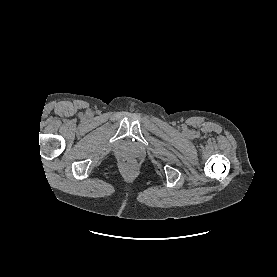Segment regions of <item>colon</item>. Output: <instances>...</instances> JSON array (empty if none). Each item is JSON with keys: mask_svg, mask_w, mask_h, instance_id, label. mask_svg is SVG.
Returning a JSON list of instances; mask_svg holds the SVG:
<instances>
[{"mask_svg": "<svg viewBox=\"0 0 277 277\" xmlns=\"http://www.w3.org/2000/svg\"><path fill=\"white\" fill-rule=\"evenodd\" d=\"M125 165L128 166V167H132L133 163L128 160V161L125 162Z\"/></svg>", "mask_w": 277, "mask_h": 277, "instance_id": "1", "label": "colon"}]
</instances>
